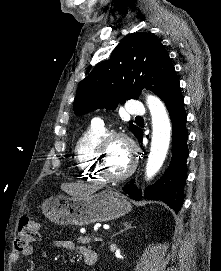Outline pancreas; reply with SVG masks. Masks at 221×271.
Listing matches in <instances>:
<instances>
[{
    "label": "pancreas",
    "instance_id": "pancreas-1",
    "mask_svg": "<svg viewBox=\"0 0 221 271\" xmlns=\"http://www.w3.org/2000/svg\"><path fill=\"white\" fill-rule=\"evenodd\" d=\"M77 242H81V244H96V239H88V237H77Z\"/></svg>",
    "mask_w": 221,
    "mask_h": 271
}]
</instances>
